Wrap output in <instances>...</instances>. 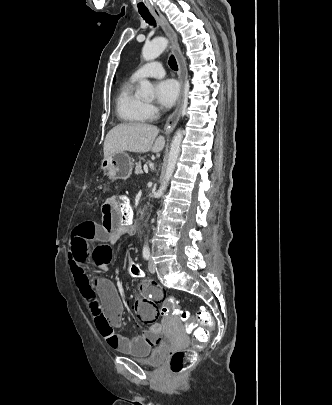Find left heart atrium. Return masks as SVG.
<instances>
[{
	"label": "left heart atrium",
	"instance_id": "left-heart-atrium-1",
	"mask_svg": "<svg viewBox=\"0 0 332 405\" xmlns=\"http://www.w3.org/2000/svg\"><path fill=\"white\" fill-rule=\"evenodd\" d=\"M179 92V85L173 79L162 80L156 85L157 101L163 107L173 106L178 99Z\"/></svg>",
	"mask_w": 332,
	"mask_h": 405
}]
</instances>
